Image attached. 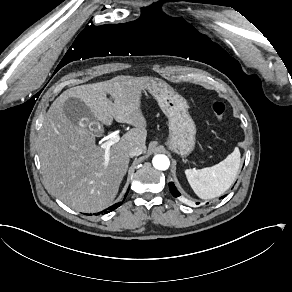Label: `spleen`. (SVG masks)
Returning <instances> with one entry per match:
<instances>
[{
  "mask_svg": "<svg viewBox=\"0 0 292 292\" xmlns=\"http://www.w3.org/2000/svg\"><path fill=\"white\" fill-rule=\"evenodd\" d=\"M240 151L235 148L220 163L203 169H187V180L201 199H212L222 195L234 183L240 168Z\"/></svg>",
  "mask_w": 292,
  "mask_h": 292,
  "instance_id": "spleen-1",
  "label": "spleen"
}]
</instances>
